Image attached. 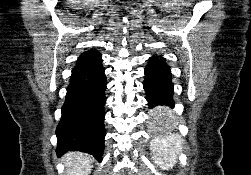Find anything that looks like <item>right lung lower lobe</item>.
Instances as JSON below:
<instances>
[{"label": "right lung lower lobe", "mask_w": 251, "mask_h": 175, "mask_svg": "<svg viewBox=\"0 0 251 175\" xmlns=\"http://www.w3.org/2000/svg\"><path fill=\"white\" fill-rule=\"evenodd\" d=\"M101 63V56L76 62L56 129L58 155L78 150L102 160L106 77Z\"/></svg>", "instance_id": "right-lung-lower-lobe-1"}]
</instances>
